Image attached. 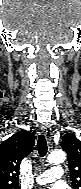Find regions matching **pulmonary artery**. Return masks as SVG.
<instances>
[{
  "label": "pulmonary artery",
  "instance_id": "pulmonary-artery-1",
  "mask_svg": "<svg viewBox=\"0 0 81 189\" xmlns=\"http://www.w3.org/2000/svg\"><path fill=\"white\" fill-rule=\"evenodd\" d=\"M63 176L61 167H53L35 177V182L39 185L48 184L60 179Z\"/></svg>",
  "mask_w": 81,
  "mask_h": 189
}]
</instances>
